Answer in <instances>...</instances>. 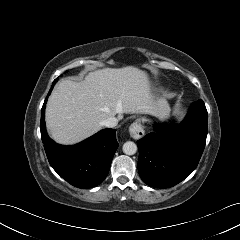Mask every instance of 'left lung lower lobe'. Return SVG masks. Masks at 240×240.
I'll return each instance as SVG.
<instances>
[{
	"instance_id": "obj_1",
	"label": "left lung lower lobe",
	"mask_w": 240,
	"mask_h": 240,
	"mask_svg": "<svg viewBox=\"0 0 240 240\" xmlns=\"http://www.w3.org/2000/svg\"><path fill=\"white\" fill-rule=\"evenodd\" d=\"M208 113L202 99L194 102L178 126L155 125V131L137 141L138 172L156 188L172 187L188 177L203 153Z\"/></svg>"
}]
</instances>
